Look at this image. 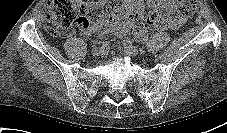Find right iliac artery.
Masks as SVG:
<instances>
[{
    "mask_svg": "<svg viewBox=\"0 0 227 133\" xmlns=\"http://www.w3.org/2000/svg\"><path fill=\"white\" fill-rule=\"evenodd\" d=\"M107 45H108L107 43H101V49L103 50L107 49Z\"/></svg>",
    "mask_w": 227,
    "mask_h": 133,
    "instance_id": "1",
    "label": "right iliac artery"
}]
</instances>
